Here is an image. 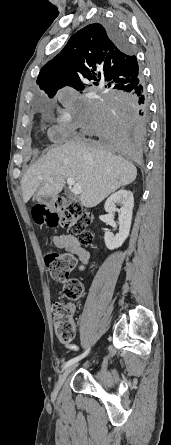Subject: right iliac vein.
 Masks as SVG:
<instances>
[{
	"label": "right iliac vein",
	"mask_w": 171,
	"mask_h": 445,
	"mask_svg": "<svg viewBox=\"0 0 171 445\" xmlns=\"http://www.w3.org/2000/svg\"><path fill=\"white\" fill-rule=\"evenodd\" d=\"M77 363L70 365L60 376L57 382L56 389L59 390L64 383L67 376L77 367Z\"/></svg>",
	"instance_id": "right-iliac-vein-1"
}]
</instances>
